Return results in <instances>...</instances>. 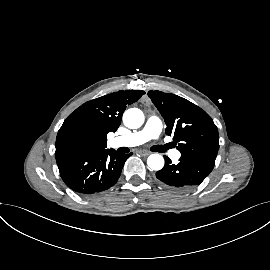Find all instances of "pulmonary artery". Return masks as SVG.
<instances>
[{
    "label": "pulmonary artery",
    "mask_w": 270,
    "mask_h": 270,
    "mask_svg": "<svg viewBox=\"0 0 270 270\" xmlns=\"http://www.w3.org/2000/svg\"><path fill=\"white\" fill-rule=\"evenodd\" d=\"M161 131V120L156 116H150L141 130L135 131L125 136L116 137L111 141V144L114 147L138 146L151 139H157L160 136ZM170 155L173 159H178L180 157V152L177 150H173L170 152Z\"/></svg>",
    "instance_id": "e3ab8cb5"
}]
</instances>
